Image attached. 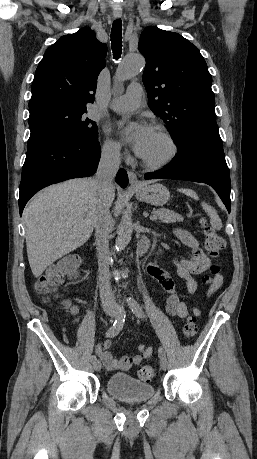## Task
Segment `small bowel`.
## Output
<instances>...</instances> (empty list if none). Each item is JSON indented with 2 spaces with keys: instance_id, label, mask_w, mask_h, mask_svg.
Listing matches in <instances>:
<instances>
[{
  "instance_id": "obj_1",
  "label": "small bowel",
  "mask_w": 257,
  "mask_h": 459,
  "mask_svg": "<svg viewBox=\"0 0 257 459\" xmlns=\"http://www.w3.org/2000/svg\"><path fill=\"white\" fill-rule=\"evenodd\" d=\"M175 236L187 247H189L193 255L188 259H182L175 262L177 275L185 281L188 293L195 294L198 289V283L194 276L206 271L210 266V260L205 252L200 248L198 240L187 230L176 229ZM147 273L155 279L161 288L167 294L165 309L170 316L185 318L188 315L187 304L179 298L175 283L171 276L162 268L155 264H150L147 268ZM223 285V277L217 274L210 285L207 296L218 291ZM70 312L77 315L79 307L76 304L67 303ZM192 313L196 316L201 315V310L194 306ZM111 340L106 339L96 347V353L101 358L107 371L128 370L134 365H139L143 360L152 355L150 346L140 344L138 346L139 355L122 357L115 359L109 348Z\"/></svg>"
}]
</instances>
